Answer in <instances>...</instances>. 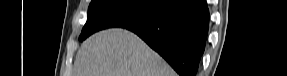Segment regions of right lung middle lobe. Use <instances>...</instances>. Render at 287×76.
<instances>
[{
  "label": "right lung middle lobe",
  "mask_w": 287,
  "mask_h": 76,
  "mask_svg": "<svg viewBox=\"0 0 287 76\" xmlns=\"http://www.w3.org/2000/svg\"><path fill=\"white\" fill-rule=\"evenodd\" d=\"M168 0H92L79 39L107 28L141 25L161 11Z\"/></svg>",
  "instance_id": "obj_1"
}]
</instances>
